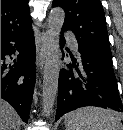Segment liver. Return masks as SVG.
<instances>
[{
  "mask_svg": "<svg viewBox=\"0 0 123 130\" xmlns=\"http://www.w3.org/2000/svg\"><path fill=\"white\" fill-rule=\"evenodd\" d=\"M21 119L14 108L1 99V130H20Z\"/></svg>",
  "mask_w": 123,
  "mask_h": 130,
  "instance_id": "liver-1",
  "label": "liver"
}]
</instances>
